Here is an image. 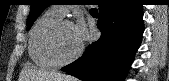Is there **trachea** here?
<instances>
[{
  "mask_svg": "<svg viewBox=\"0 0 169 81\" xmlns=\"http://www.w3.org/2000/svg\"><path fill=\"white\" fill-rule=\"evenodd\" d=\"M91 11H97V9H91Z\"/></svg>",
  "mask_w": 169,
  "mask_h": 81,
  "instance_id": "1",
  "label": "trachea"
}]
</instances>
